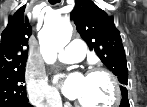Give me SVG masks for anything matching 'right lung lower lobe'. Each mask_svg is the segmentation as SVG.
Masks as SVG:
<instances>
[{"label": "right lung lower lobe", "instance_id": "right-lung-lower-lobe-1", "mask_svg": "<svg viewBox=\"0 0 147 107\" xmlns=\"http://www.w3.org/2000/svg\"><path fill=\"white\" fill-rule=\"evenodd\" d=\"M16 107H32V105H30L29 103H23V104H20Z\"/></svg>", "mask_w": 147, "mask_h": 107}]
</instances>
